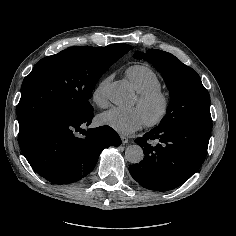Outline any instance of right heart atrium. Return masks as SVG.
Segmentation results:
<instances>
[{"label":"right heart atrium","instance_id":"obj_1","mask_svg":"<svg viewBox=\"0 0 236 236\" xmlns=\"http://www.w3.org/2000/svg\"><path fill=\"white\" fill-rule=\"evenodd\" d=\"M112 78V75L105 77L92 91V100L98 106H105L107 104L106 85Z\"/></svg>","mask_w":236,"mask_h":236}]
</instances>
